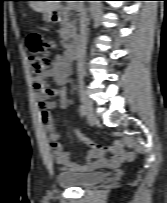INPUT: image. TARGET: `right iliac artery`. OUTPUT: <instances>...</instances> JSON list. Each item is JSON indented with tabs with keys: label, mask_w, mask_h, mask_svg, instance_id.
<instances>
[{
	"label": "right iliac artery",
	"mask_w": 167,
	"mask_h": 203,
	"mask_svg": "<svg viewBox=\"0 0 167 203\" xmlns=\"http://www.w3.org/2000/svg\"><path fill=\"white\" fill-rule=\"evenodd\" d=\"M79 113L81 115V117H84L86 115V111L83 105L79 106Z\"/></svg>",
	"instance_id": "right-iliac-artery-1"
}]
</instances>
